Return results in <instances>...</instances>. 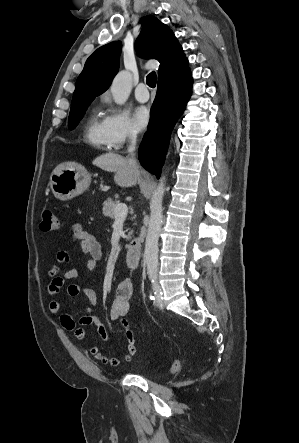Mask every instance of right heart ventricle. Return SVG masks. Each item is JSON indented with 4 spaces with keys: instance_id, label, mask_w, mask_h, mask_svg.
Instances as JSON below:
<instances>
[{
    "instance_id": "right-heart-ventricle-1",
    "label": "right heart ventricle",
    "mask_w": 299,
    "mask_h": 443,
    "mask_svg": "<svg viewBox=\"0 0 299 443\" xmlns=\"http://www.w3.org/2000/svg\"><path fill=\"white\" fill-rule=\"evenodd\" d=\"M84 138L91 146L106 150L111 148L104 129V120H101L96 112H93L88 119Z\"/></svg>"
}]
</instances>
